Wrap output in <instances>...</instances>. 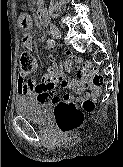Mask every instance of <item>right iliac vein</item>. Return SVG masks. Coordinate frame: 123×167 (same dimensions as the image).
<instances>
[{
    "instance_id": "1",
    "label": "right iliac vein",
    "mask_w": 123,
    "mask_h": 167,
    "mask_svg": "<svg viewBox=\"0 0 123 167\" xmlns=\"http://www.w3.org/2000/svg\"><path fill=\"white\" fill-rule=\"evenodd\" d=\"M51 35H52L55 39H61V37H62L61 31H60L58 28H56V27H53V28L51 29Z\"/></svg>"
}]
</instances>
